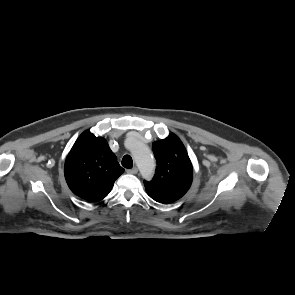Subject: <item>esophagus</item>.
<instances>
[{
    "label": "esophagus",
    "instance_id": "obj_1",
    "mask_svg": "<svg viewBox=\"0 0 295 295\" xmlns=\"http://www.w3.org/2000/svg\"><path fill=\"white\" fill-rule=\"evenodd\" d=\"M137 172H138V169L136 167L127 170L128 174H136Z\"/></svg>",
    "mask_w": 295,
    "mask_h": 295
}]
</instances>
